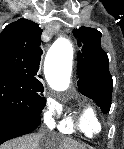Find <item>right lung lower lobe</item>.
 Instances as JSON below:
<instances>
[{
	"instance_id": "98d812e1",
	"label": "right lung lower lobe",
	"mask_w": 124,
	"mask_h": 149,
	"mask_svg": "<svg viewBox=\"0 0 124 149\" xmlns=\"http://www.w3.org/2000/svg\"><path fill=\"white\" fill-rule=\"evenodd\" d=\"M40 123L39 116L21 120H0V145L7 140L32 132Z\"/></svg>"
}]
</instances>
